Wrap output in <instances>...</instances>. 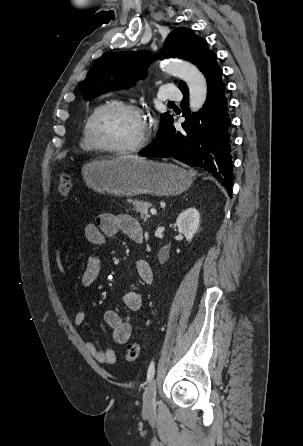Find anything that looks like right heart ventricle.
<instances>
[{
  "label": "right heart ventricle",
  "instance_id": "right-heart-ventricle-1",
  "mask_svg": "<svg viewBox=\"0 0 303 446\" xmlns=\"http://www.w3.org/2000/svg\"><path fill=\"white\" fill-rule=\"evenodd\" d=\"M100 105L96 106L91 113L88 115V117L86 118L84 125H83V129H82V135H81V139H80V146L82 149L86 150V151H93L95 150V147L91 144V142L89 141L88 138V134H87V125H88V121L89 118L91 116V114L95 111L96 108H98Z\"/></svg>",
  "mask_w": 303,
  "mask_h": 446
}]
</instances>
